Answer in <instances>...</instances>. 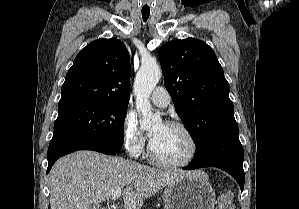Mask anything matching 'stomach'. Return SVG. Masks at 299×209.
I'll return each mask as SVG.
<instances>
[{"label": "stomach", "instance_id": "obj_1", "mask_svg": "<svg viewBox=\"0 0 299 209\" xmlns=\"http://www.w3.org/2000/svg\"><path fill=\"white\" fill-rule=\"evenodd\" d=\"M165 209H214L215 191L202 171H193L168 185L163 193Z\"/></svg>", "mask_w": 299, "mask_h": 209}]
</instances>
